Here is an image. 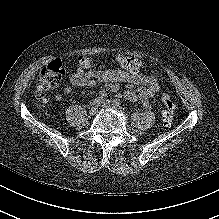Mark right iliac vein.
Here are the masks:
<instances>
[{
	"mask_svg": "<svg viewBox=\"0 0 219 219\" xmlns=\"http://www.w3.org/2000/svg\"><path fill=\"white\" fill-rule=\"evenodd\" d=\"M97 112H98V108H97V107H92V108L90 109V111H89V113H90L91 116L96 115Z\"/></svg>",
	"mask_w": 219,
	"mask_h": 219,
	"instance_id": "obj_1",
	"label": "right iliac vein"
}]
</instances>
